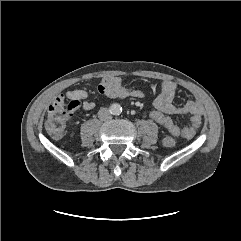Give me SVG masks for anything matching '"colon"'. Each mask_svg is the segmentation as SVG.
<instances>
[{
  "label": "colon",
  "instance_id": "colon-1",
  "mask_svg": "<svg viewBox=\"0 0 241 241\" xmlns=\"http://www.w3.org/2000/svg\"><path fill=\"white\" fill-rule=\"evenodd\" d=\"M102 90L103 88L98 86V91L100 93ZM80 105L79 100H72L66 103L63 97L57 98L48 108L45 121L47 132L55 138L61 137L64 134L66 122L77 110H79ZM148 114L154 122L171 133L172 136L164 139V144L167 147L175 146V137L184 139L194 137L202 124L200 117L193 116L190 120V126L180 127L168 115L155 108H151Z\"/></svg>",
  "mask_w": 241,
  "mask_h": 241
}]
</instances>
